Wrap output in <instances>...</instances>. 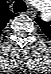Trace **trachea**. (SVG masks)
Masks as SVG:
<instances>
[{
	"mask_svg": "<svg viewBox=\"0 0 51 74\" xmlns=\"http://www.w3.org/2000/svg\"><path fill=\"white\" fill-rule=\"evenodd\" d=\"M22 9H26V5H25L24 1L17 0L14 4V11L19 12Z\"/></svg>",
	"mask_w": 51,
	"mask_h": 74,
	"instance_id": "obj_1",
	"label": "trachea"
}]
</instances>
